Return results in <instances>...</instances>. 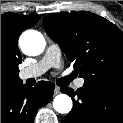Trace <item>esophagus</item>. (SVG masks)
<instances>
[{
	"instance_id": "esophagus-1",
	"label": "esophagus",
	"mask_w": 123,
	"mask_h": 123,
	"mask_svg": "<svg viewBox=\"0 0 123 123\" xmlns=\"http://www.w3.org/2000/svg\"><path fill=\"white\" fill-rule=\"evenodd\" d=\"M59 93H60V87L55 86V88H54V95H57Z\"/></svg>"
}]
</instances>
